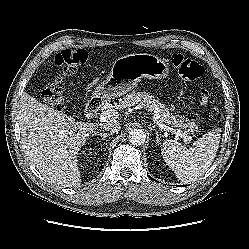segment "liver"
<instances>
[{
  "mask_svg": "<svg viewBox=\"0 0 249 249\" xmlns=\"http://www.w3.org/2000/svg\"><path fill=\"white\" fill-rule=\"evenodd\" d=\"M115 118L105 121L114 122ZM118 122V121H117ZM21 143L28 160L51 183L78 187V152L98 124L75 121L27 93L20 97Z\"/></svg>",
  "mask_w": 249,
  "mask_h": 249,
  "instance_id": "6515ba94",
  "label": "liver"
}]
</instances>
